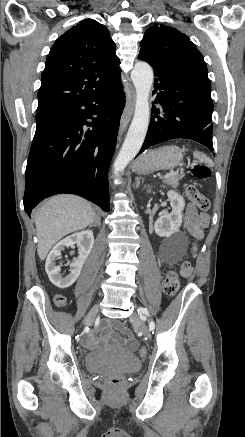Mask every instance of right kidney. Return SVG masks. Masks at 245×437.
Here are the masks:
<instances>
[{
    "label": "right kidney",
    "mask_w": 245,
    "mask_h": 437,
    "mask_svg": "<svg viewBox=\"0 0 245 437\" xmlns=\"http://www.w3.org/2000/svg\"><path fill=\"white\" fill-rule=\"evenodd\" d=\"M74 244H78L79 256L73 262L70 263V274L64 276L60 273V265H56L55 260L61 255V251L65 247H73ZM94 244V236L92 230H84L78 233H74L60 242H58L49 253L45 270L48 274L49 280L59 288L70 287L80 276L83 265L88 258Z\"/></svg>",
    "instance_id": "right-kidney-1"
}]
</instances>
